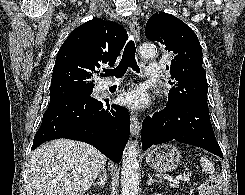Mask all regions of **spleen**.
Segmentation results:
<instances>
[{
	"label": "spleen",
	"mask_w": 245,
	"mask_h": 195,
	"mask_svg": "<svg viewBox=\"0 0 245 195\" xmlns=\"http://www.w3.org/2000/svg\"><path fill=\"white\" fill-rule=\"evenodd\" d=\"M201 167L208 174L213 175L215 173L214 165L206 157L201 158Z\"/></svg>",
	"instance_id": "1"
}]
</instances>
